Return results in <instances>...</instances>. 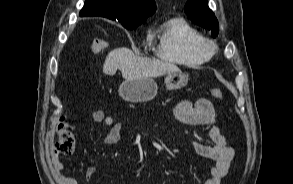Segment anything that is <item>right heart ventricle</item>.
<instances>
[{
  "label": "right heart ventricle",
  "instance_id": "1",
  "mask_svg": "<svg viewBox=\"0 0 293 184\" xmlns=\"http://www.w3.org/2000/svg\"><path fill=\"white\" fill-rule=\"evenodd\" d=\"M202 40L201 33L185 19L170 18L159 26L155 53L160 59L179 65H202L209 59L200 47Z\"/></svg>",
  "mask_w": 293,
  "mask_h": 184
}]
</instances>
